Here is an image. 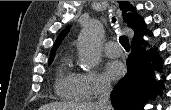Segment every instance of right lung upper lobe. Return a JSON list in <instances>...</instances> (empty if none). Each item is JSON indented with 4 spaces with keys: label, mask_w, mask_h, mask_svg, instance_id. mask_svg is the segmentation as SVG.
<instances>
[{
    "label": "right lung upper lobe",
    "mask_w": 171,
    "mask_h": 110,
    "mask_svg": "<svg viewBox=\"0 0 171 110\" xmlns=\"http://www.w3.org/2000/svg\"><path fill=\"white\" fill-rule=\"evenodd\" d=\"M118 2H119L120 9L122 10V15L125 23L134 30L133 40L139 39L140 36L143 35L144 33H149V31L146 29L143 19L135 13V9L131 5H129L127 1H118ZM128 9H131L133 11V14L126 13ZM69 28L70 27H67L66 29L61 31V33L58 35L50 52V57L55 56V51L61 44L64 37L69 32Z\"/></svg>",
    "instance_id": "1"
}]
</instances>
